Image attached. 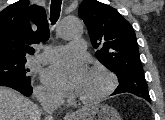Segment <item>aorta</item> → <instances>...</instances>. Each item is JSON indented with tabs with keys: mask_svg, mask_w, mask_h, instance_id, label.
Segmentation results:
<instances>
[{
	"mask_svg": "<svg viewBox=\"0 0 165 120\" xmlns=\"http://www.w3.org/2000/svg\"><path fill=\"white\" fill-rule=\"evenodd\" d=\"M83 32L82 22L77 18H67L61 25L60 35L65 39L81 36Z\"/></svg>",
	"mask_w": 165,
	"mask_h": 120,
	"instance_id": "1",
	"label": "aorta"
}]
</instances>
